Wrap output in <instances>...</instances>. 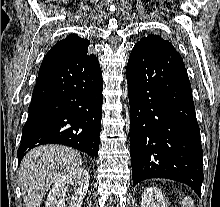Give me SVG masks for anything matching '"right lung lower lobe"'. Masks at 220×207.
I'll use <instances>...</instances> for the list:
<instances>
[{
    "instance_id": "right-lung-lower-lobe-1",
    "label": "right lung lower lobe",
    "mask_w": 220,
    "mask_h": 207,
    "mask_svg": "<svg viewBox=\"0 0 220 207\" xmlns=\"http://www.w3.org/2000/svg\"><path fill=\"white\" fill-rule=\"evenodd\" d=\"M103 80L95 55L42 62L22 130L18 164L33 147L62 144L98 156Z\"/></svg>"
}]
</instances>
